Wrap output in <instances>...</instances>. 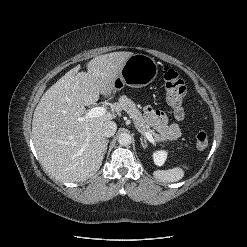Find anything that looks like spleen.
Listing matches in <instances>:
<instances>
[{"label": "spleen", "mask_w": 247, "mask_h": 247, "mask_svg": "<svg viewBox=\"0 0 247 247\" xmlns=\"http://www.w3.org/2000/svg\"><path fill=\"white\" fill-rule=\"evenodd\" d=\"M153 175L162 182H177L184 177V170L181 167H174L168 170H156Z\"/></svg>", "instance_id": "obj_1"}]
</instances>
